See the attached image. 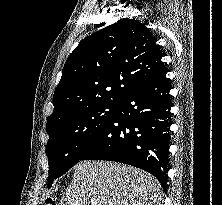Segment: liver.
<instances>
[{
	"label": "liver",
	"mask_w": 222,
	"mask_h": 205,
	"mask_svg": "<svg viewBox=\"0 0 222 205\" xmlns=\"http://www.w3.org/2000/svg\"><path fill=\"white\" fill-rule=\"evenodd\" d=\"M162 188L151 174L104 161H81L59 205H161Z\"/></svg>",
	"instance_id": "1"
}]
</instances>
